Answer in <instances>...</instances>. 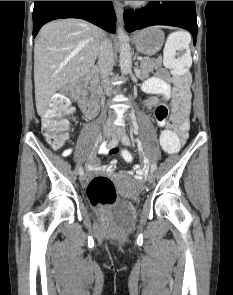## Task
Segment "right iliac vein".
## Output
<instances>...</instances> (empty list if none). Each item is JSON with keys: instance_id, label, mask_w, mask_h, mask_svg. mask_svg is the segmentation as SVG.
Returning a JSON list of instances; mask_svg holds the SVG:
<instances>
[{"instance_id": "obj_1", "label": "right iliac vein", "mask_w": 233, "mask_h": 295, "mask_svg": "<svg viewBox=\"0 0 233 295\" xmlns=\"http://www.w3.org/2000/svg\"><path fill=\"white\" fill-rule=\"evenodd\" d=\"M114 131L113 128L110 126H106L103 130V135L106 138H109L111 135H113ZM87 177L86 173H83L82 175H80V181H84Z\"/></svg>"}]
</instances>
